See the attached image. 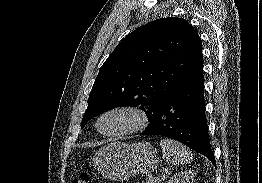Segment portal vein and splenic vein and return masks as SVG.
<instances>
[{
  "mask_svg": "<svg viewBox=\"0 0 262 183\" xmlns=\"http://www.w3.org/2000/svg\"><path fill=\"white\" fill-rule=\"evenodd\" d=\"M164 177H165V174H162L161 179L164 178ZM159 179H160V177H159Z\"/></svg>",
  "mask_w": 262,
  "mask_h": 183,
  "instance_id": "obj_1",
  "label": "portal vein and splenic vein"
}]
</instances>
